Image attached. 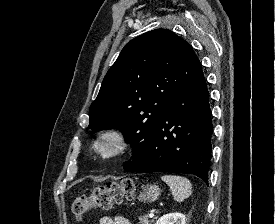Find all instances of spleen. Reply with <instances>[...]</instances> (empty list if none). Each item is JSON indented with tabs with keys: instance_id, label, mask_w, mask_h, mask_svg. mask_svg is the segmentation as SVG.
Instances as JSON below:
<instances>
[{
	"instance_id": "spleen-1",
	"label": "spleen",
	"mask_w": 275,
	"mask_h": 224,
	"mask_svg": "<svg viewBox=\"0 0 275 224\" xmlns=\"http://www.w3.org/2000/svg\"><path fill=\"white\" fill-rule=\"evenodd\" d=\"M161 179L168 184L172 191V195L177 202H182L192 193L191 182L182 176L164 175Z\"/></svg>"
}]
</instances>
